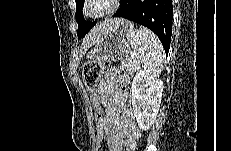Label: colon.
<instances>
[{
  "instance_id": "1",
  "label": "colon",
  "mask_w": 231,
  "mask_h": 151,
  "mask_svg": "<svg viewBox=\"0 0 231 151\" xmlns=\"http://www.w3.org/2000/svg\"><path fill=\"white\" fill-rule=\"evenodd\" d=\"M105 66H107V63H101L98 61H88L85 63L83 67L82 74L84 84L90 92L91 96L93 97L94 117L98 139L97 151H111V147L109 144L110 130L105 120L104 112L99 106L98 100L93 96L101 73L104 70ZM125 91L126 87L122 86L121 92L123 93Z\"/></svg>"
}]
</instances>
